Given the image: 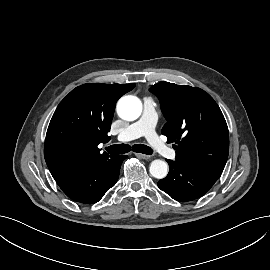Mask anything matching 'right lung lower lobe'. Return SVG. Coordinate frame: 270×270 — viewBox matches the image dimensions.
<instances>
[{
    "label": "right lung lower lobe",
    "instance_id": "right-lung-lower-lobe-1",
    "mask_svg": "<svg viewBox=\"0 0 270 270\" xmlns=\"http://www.w3.org/2000/svg\"><path fill=\"white\" fill-rule=\"evenodd\" d=\"M126 155L111 156L83 171L56 180L62 191L72 200L90 204L98 202L118 180Z\"/></svg>",
    "mask_w": 270,
    "mask_h": 270
}]
</instances>
